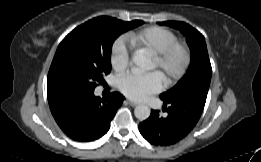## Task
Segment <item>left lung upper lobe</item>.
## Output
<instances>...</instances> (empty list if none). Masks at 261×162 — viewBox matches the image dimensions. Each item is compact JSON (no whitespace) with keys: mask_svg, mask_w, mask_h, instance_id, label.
I'll return each instance as SVG.
<instances>
[{"mask_svg":"<svg viewBox=\"0 0 261 162\" xmlns=\"http://www.w3.org/2000/svg\"><path fill=\"white\" fill-rule=\"evenodd\" d=\"M163 24L177 28L187 36L186 41L191 50V64L183 78L172 89L162 93L160 98L169 101L187 94L206 102L212 68L204 36L184 22L166 21Z\"/></svg>","mask_w":261,"mask_h":162,"instance_id":"left-lung-upper-lobe-1","label":"left lung upper lobe"}]
</instances>
